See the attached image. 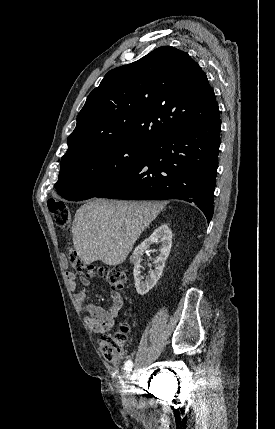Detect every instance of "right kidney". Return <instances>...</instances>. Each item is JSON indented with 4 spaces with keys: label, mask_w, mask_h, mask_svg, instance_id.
Listing matches in <instances>:
<instances>
[{
    "label": "right kidney",
    "mask_w": 275,
    "mask_h": 429,
    "mask_svg": "<svg viewBox=\"0 0 275 429\" xmlns=\"http://www.w3.org/2000/svg\"><path fill=\"white\" fill-rule=\"evenodd\" d=\"M160 242L159 248L160 255L154 259V269L149 271V277L143 281L144 277L141 275L140 265L144 252L155 242ZM172 247V231L166 224H161L149 238L145 239L139 246H137L130 257V261L134 264V280L137 293L140 295L147 294L157 283L162 275L165 267V261L168 258Z\"/></svg>",
    "instance_id": "1"
}]
</instances>
